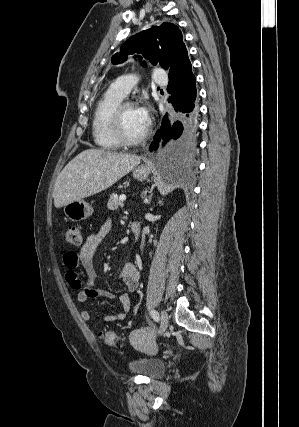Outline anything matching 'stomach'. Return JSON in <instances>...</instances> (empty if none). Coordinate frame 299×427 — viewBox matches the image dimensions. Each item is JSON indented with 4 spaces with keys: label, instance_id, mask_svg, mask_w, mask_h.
<instances>
[{
    "label": "stomach",
    "instance_id": "obj_1",
    "mask_svg": "<svg viewBox=\"0 0 299 427\" xmlns=\"http://www.w3.org/2000/svg\"><path fill=\"white\" fill-rule=\"evenodd\" d=\"M149 175L148 166H138L133 170V177L137 180H145ZM64 213L68 219L78 222L87 219L93 213V208L84 200L70 202L64 206Z\"/></svg>",
    "mask_w": 299,
    "mask_h": 427
}]
</instances>
